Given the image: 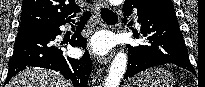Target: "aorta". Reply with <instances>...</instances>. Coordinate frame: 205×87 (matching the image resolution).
I'll return each mask as SVG.
<instances>
[{"instance_id":"aorta-1","label":"aorta","mask_w":205,"mask_h":87,"mask_svg":"<svg viewBox=\"0 0 205 87\" xmlns=\"http://www.w3.org/2000/svg\"><path fill=\"white\" fill-rule=\"evenodd\" d=\"M113 5H120L122 0H110ZM127 67V55L119 52L115 55L108 76L105 80L104 87H118Z\"/></svg>"}]
</instances>
